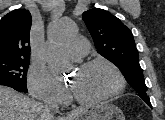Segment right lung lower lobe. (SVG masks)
<instances>
[{"mask_svg": "<svg viewBox=\"0 0 165 120\" xmlns=\"http://www.w3.org/2000/svg\"><path fill=\"white\" fill-rule=\"evenodd\" d=\"M15 90H17V91H19V92H23V91H21V90H18V89H15ZM23 93H25V92H23Z\"/></svg>", "mask_w": 165, "mask_h": 120, "instance_id": "98d812e1", "label": "right lung lower lobe"}]
</instances>
